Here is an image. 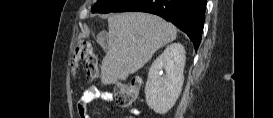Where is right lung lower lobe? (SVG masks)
Instances as JSON below:
<instances>
[{
	"mask_svg": "<svg viewBox=\"0 0 273 118\" xmlns=\"http://www.w3.org/2000/svg\"><path fill=\"white\" fill-rule=\"evenodd\" d=\"M205 8L206 0H127L114 12H147L163 17L185 32L197 50Z\"/></svg>",
	"mask_w": 273,
	"mask_h": 118,
	"instance_id": "right-lung-lower-lobe-1",
	"label": "right lung lower lobe"
}]
</instances>
